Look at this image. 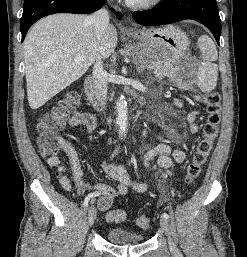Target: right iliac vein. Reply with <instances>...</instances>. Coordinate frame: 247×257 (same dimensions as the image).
Masks as SVG:
<instances>
[{"label": "right iliac vein", "mask_w": 247, "mask_h": 257, "mask_svg": "<svg viewBox=\"0 0 247 257\" xmlns=\"http://www.w3.org/2000/svg\"><path fill=\"white\" fill-rule=\"evenodd\" d=\"M96 208L94 205H91L88 210V224L89 226H92L94 224V221L96 219Z\"/></svg>", "instance_id": "obj_1"}]
</instances>
